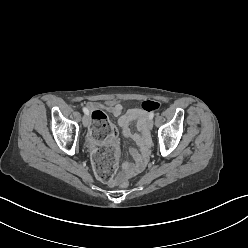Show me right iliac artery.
I'll list each match as a JSON object with an SVG mask.
<instances>
[{
	"label": "right iliac artery",
	"instance_id": "82829eb1",
	"mask_svg": "<svg viewBox=\"0 0 248 248\" xmlns=\"http://www.w3.org/2000/svg\"><path fill=\"white\" fill-rule=\"evenodd\" d=\"M83 112L87 115H89V110L87 108H83Z\"/></svg>",
	"mask_w": 248,
	"mask_h": 248
}]
</instances>
